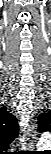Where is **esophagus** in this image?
<instances>
[{"mask_svg":"<svg viewBox=\"0 0 51 154\" xmlns=\"http://www.w3.org/2000/svg\"><path fill=\"white\" fill-rule=\"evenodd\" d=\"M32 132H33V131H32L31 129L28 130L29 141H30L29 144L33 146V145L35 144V141H36L35 139H36V138H35V135L32 134Z\"/></svg>","mask_w":51,"mask_h":154,"instance_id":"34e87169","label":"esophagus"}]
</instances>
